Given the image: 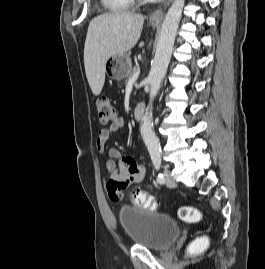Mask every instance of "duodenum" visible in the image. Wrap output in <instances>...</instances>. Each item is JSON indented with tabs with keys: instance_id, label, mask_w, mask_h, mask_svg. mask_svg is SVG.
I'll return each mask as SVG.
<instances>
[{
	"instance_id": "obj_1",
	"label": "duodenum",
	"mask_w": 265,
	"mask_h": 269,
	"mask_svg": "<svg viewBox=\"0 0 265 269\" xmlns=\"http://www.w3.org/2000/svg\"><path fill=\"white\" fill-rule=\"evenodd\" d=\"M145 105L143 103H139L136 105L134 109V118L136 120H141L144 114Z\"/></svg>"
}]
</instances>
